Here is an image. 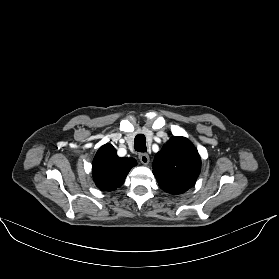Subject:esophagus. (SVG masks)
<instances>
[{"label":"esophagus","instance_id":"esophagus-1","mask_svg":"<svg viewBox=\"0 0 279 279\" xmlns=\"http://www.w3.org/2000/svg\"><path fill=\"white\" fill-rule=\"evenodd\" d=\"M140 162L144 165H147L149 163V155L146 153L139 155Z\"/></svg>","mask_w":279,"mask_h":279}]
</instances>
